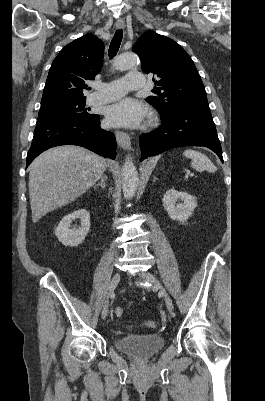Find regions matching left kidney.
<instances>
[{"label":"left kidney","instance_id":"5707ae66","mask_svg":"<svg viewBox=\"0 0 265 401\" xmlns=\"http://www.w3.org/2000/svg\"><path fill=\"white\" fill-rule=\"evenodd\" d=\"M179 201H182V203H179ZM163 205L170 219L185 223L197 207V198L189 194V192L168 188L163 196Z\"/></svg>","mask_w":265,"mask_h":401}]
</instances>
